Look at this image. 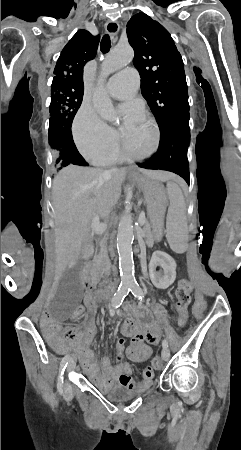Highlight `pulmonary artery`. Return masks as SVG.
Wrapping results in <instances>:
<instances>
[{
    "label": "pulmonary artery",
    "instance_id": "pulmonary-artery-1",
    "mask_svg": "<svg viewBox=\"0 0 241 450\" xmlns=\"http://www.w3.org/2000/svg\"><path fill=\"white\" fill-rule=\"evenodd\" d=\"M138 69L135 64H130L128 69L119 71L117 74H111L107 83L108 94L117 100H128L135 94L138 83Z\"/></svg>",
    "mask_w": 241,
    "mask_h": 450
}]
</instances>
